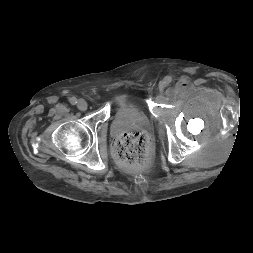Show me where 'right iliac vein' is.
Masks as SVG:
<instances>
[{"label":"right iliac vein","instance_id":"right-iliac-vein-1","mask_svg":"<svg viewBox=\"0 0 253 253\" xmlns=\"http://www.w3.org/2000/svg\"><path fill=\"white\" fill-rule=\"evenodd\" d=\"M77 106H78L79 110H81V111H85V110L87 109V107H88L86 101L83 100V99H80V100L78 101Z\"/></svg>","mask_w":253,"mask_h":253}]
</instances>
